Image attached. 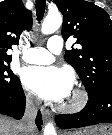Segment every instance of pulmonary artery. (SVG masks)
<instances>
[{
    "label": "pulmonary artery",
    "instance_id": "obj_1",
    "mask_svg": "<svg viewBox=\"0 0 112 135\" xmlns=\"http://www.w3.org/2000/svg\"><path fill=\"white\" fill-rule=\"evenodd\" d=\"M63 43L58 36L51 37L47 42V48L34 47L23 52V60L30 64L44 65L54 61V55L62 51Z\"/></svg>",
    "mask_w": 112,
    "mask_h": 135
}]
</instances>
